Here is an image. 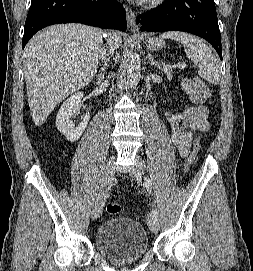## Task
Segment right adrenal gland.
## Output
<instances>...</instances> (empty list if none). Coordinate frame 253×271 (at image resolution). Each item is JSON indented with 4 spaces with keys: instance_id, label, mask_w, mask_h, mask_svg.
<instances>
[{
    "instance_id": "right-adrenal-gland-1",
    "label": "right adrenal gland",
    "mask_w": 253,
    "mask_h": 271,
    "mask_svg": "<svg viewBox=\"0 0 253 271\" xmlns=\"http://www.w3.org/2000/svg\"><path fill=\"white\" fill-rule=\"evenodd\" d=\"M106 67H107V61H105L104 65L101 67L100 71L101 72L105 71Z\"/></svg>"
}]
</instances>
